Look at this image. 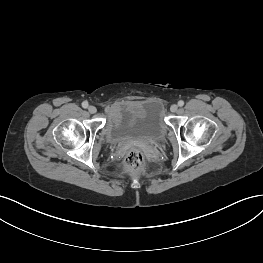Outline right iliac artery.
I'll return each mask as SVG.
<instances>
[{"label": "right iliac artery", "instance_id": "1", "mask_svg": "<svg viewBox=\"0 0 263 263\" xmlns=\"http://www.w3.org/2000/svg\"><path fill=\"white\" fill-rule=\"evenodd\" d=\"M82 107H83V108H87V107H88V102L84 101V102L82 103Z\"/></svg>", "mask_w": 263, "mask_h": 263}]
</instances>
